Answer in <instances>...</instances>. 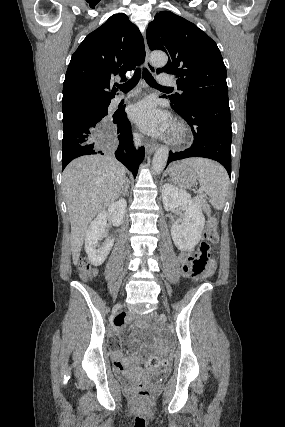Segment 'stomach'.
<instances>
[{"instance_id":"1","label":"stomach","mask_w":285,"mask_h":427,"mask_svg":"<svg viewBox=\"0 0 285 427\" xmlns=\"http://www.w3.org/2000/svg\"><path fill=\"white\" fill-rule=\"evenodd\" d=\"M172 182L182 188H191L197 184L198 177L193 168L184 163H174L169 168Z\"/></svg>"}]
</instances>
